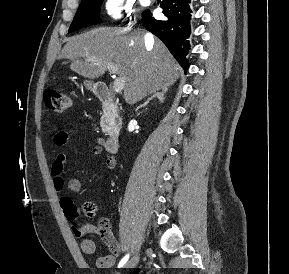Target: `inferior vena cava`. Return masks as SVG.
<instances>
[{
    "label": "inferior vena cava",
    "mask_w": 289,
    "mask_h": 274,
    "mask_svg": "<svg viewBox=\"0 0 289 274\" xmlns=\"http://www.w3.org/2000/svg\"><path fill=\"white\" fill-rule=\"evenodd\" d=\"M145 43L153 42V36L150 34H146L144 36Z\"/></svg>",
    "instance_id": "1"
}]
</instances>
